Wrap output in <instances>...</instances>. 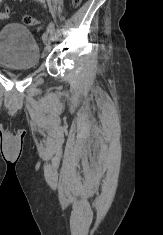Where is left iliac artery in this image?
I'll list each match as a JSON object with an SVG mask.
<instances>
[{
    "mask_svg": "<svg viewBox=\"0 0 163 235\" xmlns=\"http://www.w3.org/2000/svg\"><path fill=\"white\" fill-rule=\"evenodd\" d=\"M37 1H40V2H44L45 0H37ZM48 32H50L51 34L55 31V27H54V24L53 23H50L48 25V28H47Z\"/></svg>",
    "mask_w": 163,
    "mask_h": 235,
    "instance_id": "obj_1",
    "label": "left iliac artery"
}]
</instances>
